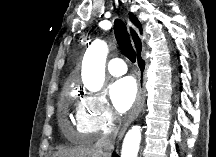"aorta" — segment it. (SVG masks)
Wrapping results in <instances>:
<instances>
[{
  "label": "aorta",
  "mask_w": 216,
  "mask_h": 157,
  "mask_svg": "<svg viewBox=\"0 0 216 157\" xmlns=\"http://www.w3.org/2000/svg\"><path fill=\"white\" fill-rule=\"evenodd\" d=\"M107 54L108 45L102 40H95L85 53L82 63V81L91 92H97L103 87ZM140 141V127L133 126L124 138L121 157H137Z\"/></svg>",
  "instance_id": "aorta-1"
}]
</instances>
